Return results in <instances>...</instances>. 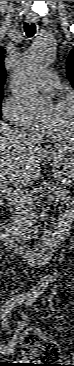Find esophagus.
Returning <instances> with one entry per match:
<instances>
[{
	"instance_id": "esophagus-1",
	"label": "esophagus",
	"mask_w": 74,
	"mask_h": 366,
	"mask_svg": "<svg viewBox=\"0 0 74 366\" xmlns=\"http://www.w3.org/2000/svg\"><path fill=\"white\" fill-rule=\"evenodd\" d=\"M27 21L29 23H33V22H36L37 21V17L35 15H30V16H27Z\"/></svg>"
}]
</instances>
